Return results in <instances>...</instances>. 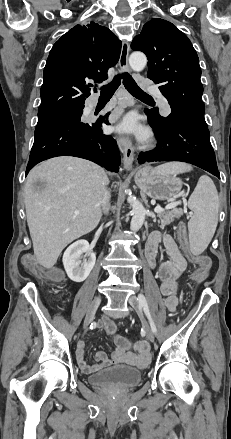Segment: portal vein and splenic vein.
<instances>
[{"label":"portal vein and splenic vein","instance_id":"obj_1","mask_svg":"<svg viewBox=\"0 0 231 439\" xmlns=\"http://www.w3.org/2000/svg\"><path fill=\"white\" fill-rule=\"evenodd\" d=\"M177 205H178V203H171L168 206H166L165 209H172V208H175ZM154 211H155V213L159 214V213L164 212V209L160 206H157V207H155ZM75 214H79V211L76 210Z\"/></svg>","mask_w":231,"mask_h":439}]
</instances>
